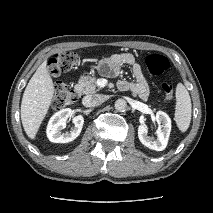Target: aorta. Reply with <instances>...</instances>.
Masks as SVG:
<instances>
[{"mask_svg":"<svg viewBox=\"0 0 213 213\" xmlns=\"http://www.w3.org/2000/svg\"><path fill=\"white\" fill-rule=\"evenodd\" d=\"M115 109L117 111H120V112H123L126 110V107H127V103L124 99H118L116 102H115Z\"/></svg>","mask_w":213,"mask_h":213,"instance_id":"aorta-1","label":"aorta"}]
</instances>
